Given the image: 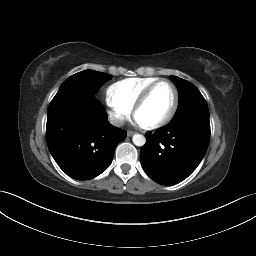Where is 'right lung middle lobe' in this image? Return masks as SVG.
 I'll use <instances>...</instances> for the list:
<instances>
[{
	"mask_svg": "<svg viewBox=\"0 0 256 256\" xmlns=\"http://www.w3.org/2000/svg\"><path fill=\"white\" fill-rule=\"evenodd\" d=\"M110 79L108 74L98 71L86 70L76 73L64 81L49 108L57 104L81 100L87 95L88 87L96 91Z\"/></svg>",
	"mask_w": 256,
	"mask_h": 256,
	"instance_id": "dd1d6c3e",
	"label": "right lung middle lobe"
}]
</instances>
